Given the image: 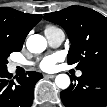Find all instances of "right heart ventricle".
<instances>
[{
  "label": "right heart ventricle",
  "instance_id": "right-heart-ventricle-1",
  "mask_svg": "<svg viewBox=\"0 0 107 107\" xmlns=\"http://www.w3.org/2000/svg\"><path fill=\"white\" fill-rule=\"evenodd\" d=\"M59 28L55 27V26H52V25H48L45 27V32H53L55 30H58Z\"/></svg>",
  "mask_w": 107,
  "mask_h": 107
}]
</instances>
